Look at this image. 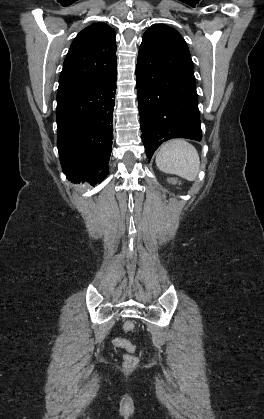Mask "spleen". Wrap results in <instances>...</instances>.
I'll return each instance as SVG.
<instances>
[{"mask_svg": "<svg viewBox=\"0 0 264 419\" xmlns=\"http://www.w3.org/2000/svg\"><path fill=\"white\" fill-rule=\"evenodd\" d=\"M155 161L162 172L175 174L189 181L197 178L200 169L196 148L183 139H174L163 144Z\"/></svg>", "mask_w": 264, "mask_h": 419, "instance_id": "obj_1", "label": "spleen"}]
</instances>
